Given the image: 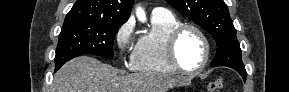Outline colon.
<instances>
[{
	"mask_svg": "<svg viewBox=\"0 0 289 92\" xmlns=\"http://www.w3.org/2000/svg\"><path fill=\"white\" fill-rule=\"evenodd\" d=\"M222 88H223V81L222 80H215V81L211 82L207 87L209 92L220 91Z\"/></svg>",
	"mask_w": 289,
	"mask_h": 92,
	"instance_id": "5ec220e1",
	"label": "colon"
}]
</instances>
